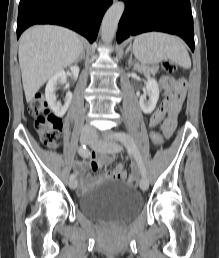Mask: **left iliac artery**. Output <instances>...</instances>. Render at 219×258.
<instances>
[{
	"mask_svg": "<svg viewBox=\"0 0 219 258\" xmlns=\"http://www.w3.org/2000/svg\"><path fill=\"white\" fill-rule=\"evenodd\" d=\"M115 138L120 140L121 143L126 147L127 151L134 156L138 164L141 175L145 176L146 174L145 167L132 137L124 132H119L116 134Z\"/></svg>",
	"mask_w": 219,
	"mask_h": 258,
	"instance_id": "obj_1",
	"label": "left iliac artery"
}]
</instances>
